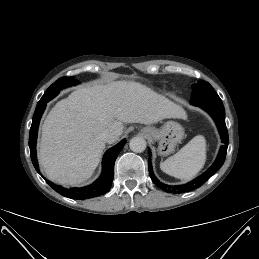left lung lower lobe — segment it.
I'll use <instances>...</instances> for the list:
<instances>
[{
	"mask_svg": "<svg viewBox=\"0 0 259 259\" xmlns=\"http://www.w3.org/2000/svg\"><path fill=\"white\" fill-rule=\"evenodd\" d=\"M195 106H199L202 109L206 110L214 119L217 128L219 130V133L221 135L222 142L224 143L220 151L218 153V156L213 163V165L201 176L197 177L196 179L192 180L191 182L180 185V186H171V185H165L161 183L154 175L152 170V164H151V158L148 159V167H149V174L152 179V181L157 185L160 189L168 192V193H184L188 191H192L194 189L199 188L201 185H203L224 163L226 153H227V147H228V132L225 124V109L222 104V102H215V103H201L197 104ZM149 156L150 151H149Z\"/></svg>",
	"mask_w": 259,
	"mask_h": 259,
	"instance_id": "1",
	"label": "left lung lower lobe"
}]
</instances>
